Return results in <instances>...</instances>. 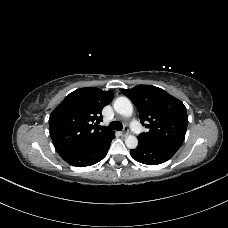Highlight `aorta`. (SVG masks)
I'll use <instances>...</instances> for the list:
<instances>
[{"label": "aorta", "instance_id": "aorta-1", "mask_svg": "<svg viewBox=\"0 0 228 228\" xmlns=\"http://www.w3.org/2000/svg\"><path fill=\"white\" fill-rule=\"evenodd\" d=\"M114 110L122 116L130 117L133 113V106L127 97H118L113 104ZM125 144L130 149H135L138 139L134 135H129L125 139Z\"/></svg>", "mask_w": 228, "mask_h": 228}]
</instances>
